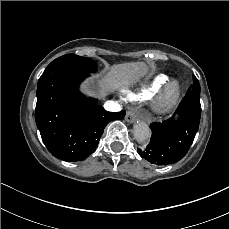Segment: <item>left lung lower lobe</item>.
<instances>
[{"label":"left lung lower lobe","mask_w":229,"mask_h":229,"mask_svg":"<svg viewBox=\"0 0 229 229\" xmlns=\"http://www.w3.org/2000/svg\"><path fill=\"white\" fill-rule=\"evenodd\" d=\"M177 120L152 123V136L145 150L137 149L142 158L156 165H168L182 159L199 129L201 104L200 84L193 75V84L179 104Z\"/></svg>","instance_id":"0a47b994"}]
</instances>
